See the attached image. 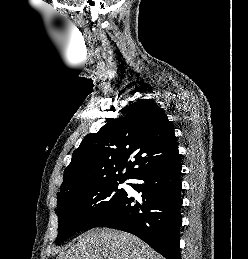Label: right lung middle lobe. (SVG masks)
<instances>
[{"mask_svg":"<svg viewBox=\"0 0 248 259\" xmlns=\"http://www.w3.org/2000/svg\"><path fill=\"white\" fill-rule=\"evenodd\" d=\"M125 180H110L73 188L58 200V236L60 244L75 232L100 226L109 220L126 195L119 184Z\"/></svg>","mask_w":248,"mask_h":259,"instance_id":"dd1d6c3e","label":"right lung middle lobe"}]
</instances>
